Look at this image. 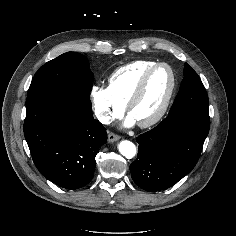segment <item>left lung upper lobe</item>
Wrapping results in <instances>:
<instances>
[{
	"mask_svg": "<svg viewBox=\"0 0 236 236\" xmlns=\"http://www.w3.org/2000/svg\"><path fill=\"white\" fill-rule=\"evenodd\" d=\"M182 110L209 112V100L205 87L197 73L187 63L184 65V78L180 90L169 114Z\"/></svg>",
	"mask_w": 236,
	"mask_h": 236,
	"instance_id": "left-lung-upper-lobe-1",
	"label": "left lung upper lobe"
}]
</instances>
